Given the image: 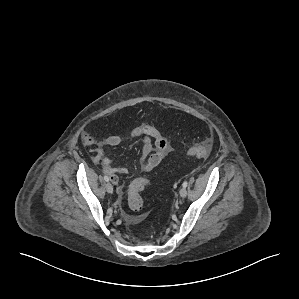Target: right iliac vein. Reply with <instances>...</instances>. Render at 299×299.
Instances as JSON below:
<instances>
[{
  "mask_svg": "<svg viewBox=\"0 0 299 299\" xmlns=\"http://www.w3.org/2000/svg\"><path fill=\"white\" fill-rule=\"evenodd\" d=\"M105 188L108 193H113V186L110 182L105 185Z\"/></svg>",
  "mask_w": 299,
  "mask_h": 299,
  "instance_id": "63e3f726",
  "label": "right iliac vein"
}]
</instances>
